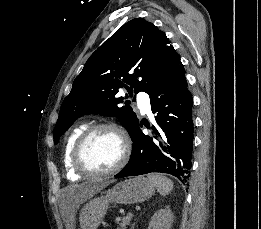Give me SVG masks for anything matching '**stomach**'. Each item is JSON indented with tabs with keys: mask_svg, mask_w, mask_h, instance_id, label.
I'll use <instances>...</instances> for the list:
<instances>
[{
	"mask_svg": "<svg viewBox=\"0 0 261 229\" xmlns=\"http://www.w3.org/2000/svg\"><path fill=\"white\" fill-rule=\"evenodd\" d=\"M157 189L155 183L144 177H135V179H126L123 183L114 185L109 189L106 197L91 199L80 211L81 229H98L100 221L104 219L109 203H143L150 199Z\"/></svg>",
	"mask_w": 261,
	"mask_h": 229,
	"instance_id": "stomach-1",
	"label": "stomach"
}]
</instances>
